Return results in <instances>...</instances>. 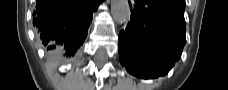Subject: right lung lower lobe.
<instances>
[{
    "mask_svg": "<svg viewBox=\"0 0 228 90\" xmlns=\"http://www.w3.org/2000/svg\"><path fill=\"white\" fill-rule=\"evenodd\" d=\"M102 0H37L33 25L37 35L55 57L71 58L83 44Z\"/></svg>",
    "mask_w": 228,
    "mask_h": 90,
    "instance_id": "98d812e1",
    "label": "right lung lower lobe"
}]
</instances>
